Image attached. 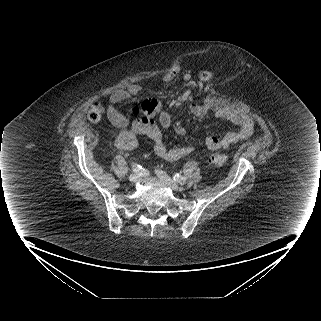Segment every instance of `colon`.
Wrapping results in <instances>:
<instances>
[{
    "instance_id": "colon-1",
    "label": "colon",
    "mask_w": 321,
    "mask_h": 321,
    "mask_svg": "<svg viewBox=\"0 0 321 321\" xmlns=\"http://www.w3.org/2000/svg\"><path fill=\"white\" fill-rule=\"evenodd\" d=\"M177 71L176 67H171L167 73L163 72L160 75L161 80H163L164 83L169 84L173 80V76L175 75ZM198 81L202 85H209L213 81V74L209 70H202L198 74ZM104 106L100 102H94L90 106L87 117L88 119L93 122L97 123L100 122L104 116ZM130 113L133 115V117H141L143 115V111L139 105H134L130 109ZM228 162L227 155L223 153H212L208 157V163L215 165V166H223Z\"/></svg>"
}]
</instances>
